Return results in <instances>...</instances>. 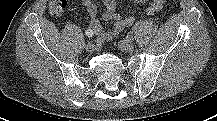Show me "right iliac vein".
Masks as SVG:
<instances>
[{
    "label": "right iliac vein",
    "instance_id": "1",
    "mask_svg": "<svg viewBox=\"0 0 217 121\" xmlns=\"http://www.w3.org/2000/svg\"><path fill=\"white\" fill-rule=\"evenodd\" d=\"M95 49H96V46H95V44L92 43V42H89V43L86 45V51H87L88 53H93V52L95 51Z\"/></svg>",
    "mask_w": 217,
    "mask_h": 121
}]
</instances>
